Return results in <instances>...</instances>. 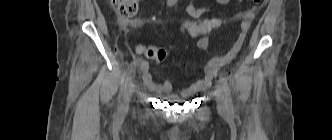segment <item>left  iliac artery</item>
Here are the masks:
<instances>
[{
    "label": "left iliac artery",
    "mask_w": 332,
    "mask_h": 140,
    "mask_svg": "<svg viewBox=\"0 0 332 140\" xmlns=\"http://www.w3.org/2000/svg\"><path fill=\"white\" fill-rule=\"evenodd\" d=\"M220 81L222 83V87H223V90L225 93L227 109H228L229 113H234V106H233L230 88H229L226 77L222 74L220 75Z\"/></svg>",
    "instance_id": "1"
}]
</instances>
